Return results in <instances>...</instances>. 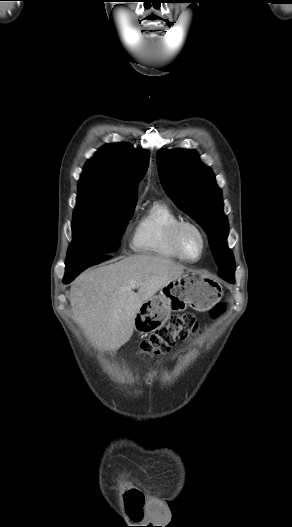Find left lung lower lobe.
<instances>
[{
    "label": "left lung lower lobe",
    "mask_w": 292,
    "mask_h": 527,
    "mask_svg": "<svg viewBox=\"0 0 292 527\" xmlns=\"http://www.w3.org/2000/svg\"><path fill=\"white\" fill-rule=\"evenodd\" d=\"M219 276H220L221 278L227 280V281H231V282H232V281L234 280L233 277H226V276H223V275H219Z\"/></svg>",
    "instance_id": "0a47b994"
}]
</instances>
